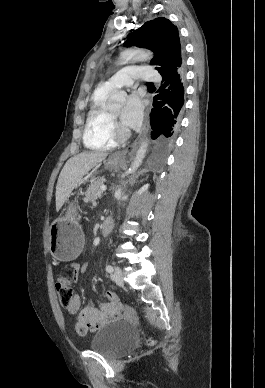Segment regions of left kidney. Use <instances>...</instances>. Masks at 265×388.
I'll return each instance as SVG.
<instances>
[{"instance_id":"left-kidney-1","label":"left kidney","mask_w":265,"mask_h":388,"mask_svg":"<svg viewBox=\"0 0 265 388\" xmlns=\"http://www.w3.org/2000/svg\"><path fill=\"white\" fill-rule=\"evenodd\" d=\"M149 188V184H145V186H142V188H140L138 194L139 196H141V194H143V192H146V190H148Z\"/></svg>"}]
</instances>
